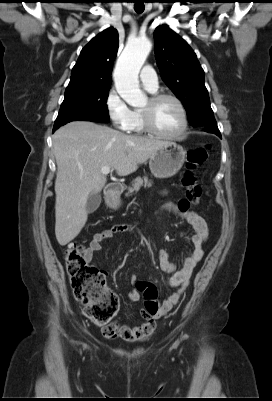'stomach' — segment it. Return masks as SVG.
Here are the masks:
<instances>
[{
    "mask_svg": "<svg viewBox=\"0 0 272 401\" xmlns=\"http://www.w3.org/2000/svg\"><path fill=\"white\" fill-rule=\"evenodd\" d=\"M186 151L181 145L169 142L158 149L149 160L151 173L160 179L174 176L182 167L185 161ZM107 205L111 208H118L121 205L119 198H108Z\"/></svg>",
    "mask_w": 272,
    "mask_h": 401,
    "instance_id": "0dacf381",
    "label": "stomach"
}]
</instances>
